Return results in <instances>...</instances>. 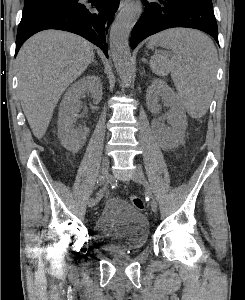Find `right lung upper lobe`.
Listing matches in <instances>:
<instances>
[{
	"label": "right lung upper lobe",
	"instance_id": "1",
	"mask_svg": "<svg viewBox=\"0 0 245 300\" xmlns=\"http://www.w3.org/2000/svg\"><path fill=\"white\" fill-rule=\"evenodd\" d=\"M30 1H34V0H24V2H30Z\"/></svg>",
	"mask_w": 245,
	"mask_h": 300
}]
</instances>
